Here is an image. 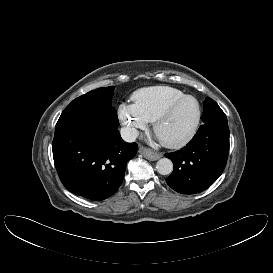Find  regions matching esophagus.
Returning a JSON list of instances; mask_svg holds the SVG:
<instances>
[{
  "label": "esophagus",
  "mask_w": 273,
  "mask_h": 273,
  "mask_svg": "<svg viewBox=\"0 0 273 273\" xmlns=\"http://www.w3.org/2000/svg\"><path fill=\"white\" fill-rule=\"evenodd\" d=\"M138 152L141 155H143L146 159L151 160V161H155V160L162 157L161 153L153 151L152 149L146 148L144 146H140Z\"/></svg>",
  "instance_id": "esophagus-1"
}]
</instances>
